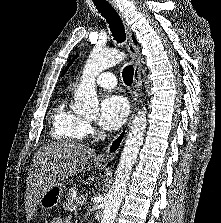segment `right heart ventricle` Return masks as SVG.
Returning a JSON list of instances; mask_svg holds the SVG:
<instances>
[{"mask_svg": "<svg viewBox=\"0 0 221 223\" xmlns=\"http://www.w3.org/2000/svg\"><path fill=\"white\" fill-rule=\"evenodd\" d=\"M51 137L57 141L79 142L86 135V122L63 100L52 111Z\"/></svg>", "mask_w": 221, "mask_h": 223, "instance_id": "right-heart-ventricle-1", "label": "right heart ventricle"}]
</instances>
